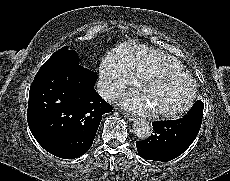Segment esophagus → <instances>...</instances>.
<instances>
[{
  "mask_svg": "<svg viewBox=\"0 0 230 181\" xmlns=\"http://www.w3.org/2000/svg\"><path fill=\"white\" fill-rule=\"evenodd\" d=\"M123 115L128 121H133L134 120V116L129 114V113H127V112H124Z\"/></svg>",
  "mask_w": 230,
  "mask_h": 181,
  "instance_id": "esophagus-1",
  "label": "esophagus"
}]
</instances>
